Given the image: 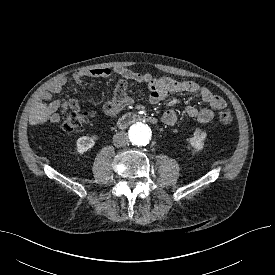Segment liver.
Returning a JSON list of instances; mask_svg holds the SVG:
<instances>
[{
	"label": "liver",
	"instance_id": "1",
	"mask_svg": "<svg viewBox=\"0 0 275 275\" xmlns=\"http://www.w3.org/2000/svg\"><path fill=\"white\" fill-rule=\"evenodd\" d=\"M56 109V103H52L49 106L46 104L39 105V107L29 117L30 125H37L45 122Z\"/></svg>",
	"mask_w": 275,
	"mask_h": 275
}]
</instances>
